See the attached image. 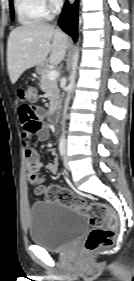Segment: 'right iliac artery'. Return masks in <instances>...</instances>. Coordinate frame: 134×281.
I'll use <instances>...</instances> for the list:
<instances>
[{
  "instance_id": "right-iliac-artery-1",
  "label": "right iliac artery",
  "mask_w": 134,
  "mask_h": 281,
  "mask_svg": "<svg viewBox=\"0 0 134 281\" xmlns=\"http://www.w3.org/2000/svg\"><path fill=\"white\" fill-rule=\"evenodd\" d=\"M64 140L63 139H60V143H59V151H60V155L63 157L64 156V153H65V150H64Z\"/></svg>"
}]
</instances>
